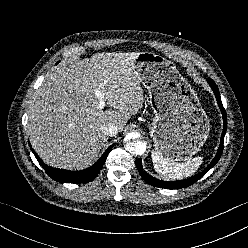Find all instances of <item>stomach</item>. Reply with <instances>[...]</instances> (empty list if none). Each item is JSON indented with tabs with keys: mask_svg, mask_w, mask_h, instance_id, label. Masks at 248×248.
I'll list each match as a JSON object with an SVG mask.
<instances>
[{
	"mask_svg": "<svg viewBox=\"0 0 248 248\" xmlns=\"http://www.w3.org/2000/svg\"><path fill=\"white\" fill-rule=\"evenodd\" d=\"M154 111L149 133L154 150L168 162H187L200 151L210 125L197 94L176 66L162 56L143 52L134 61Z\"/></svg>",
	"mask_w": 248,
	"mask_h": 248,
	"instance_id": "stomach-1",
	"label": "stomach"
}]
</instances>
